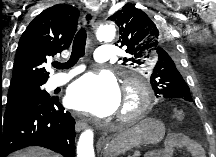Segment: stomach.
Instances as JSON below:
<instances>
[{"instance_id":"0dacf381","label":"stomach","mask_w":216,"mask_h":157,"mask_svg":"<svg viewBox=\"0 0 216 157\" xmlns=\"http://www.w3.org/2000/svg\"><path fill=\"white\" fill-rule=\"evenodd\" d=\"M165 135L164 124L156 119L148 118L130 129H126L111 139L104 148L105 154L121 153L132 146L140 144L155 145Z\"/></svg>"}]
</instances>
